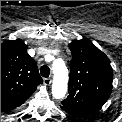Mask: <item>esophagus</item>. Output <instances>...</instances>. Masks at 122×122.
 I'll list each match as a JSON object with an SVG mask.
<instances>
[{
	"label": "esophagus",
	"mask_w": 122,
	"mask_h": 122,
	"mask_svg": "<svg viewBox=\"0 0 122 122\" xmlns=\"http://www.w3.org/2000/svg\"><path fill=\"white\" fill-rule=\"evenodd\" d=\"M43 82H44V84L45 85H50L51 83H52V79L51 78H45L44 80H43Z\"/></svg>",
	"instance_id": "obj_1"
}]
</instances>
